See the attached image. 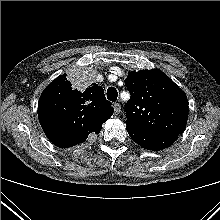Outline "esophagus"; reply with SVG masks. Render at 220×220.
<instances>
[{"instance_id": "34e87169", "label": "esophagus", "mask_w": 220, "mask_h": 220, "mask_svg": "<svg viewBox=\"0 0 220 220\" xmlns=\"http://www.w3.org/2000/svg\"><path fill=\"white\" fill-rule=\"evenodd\" d=\"M113 107L115 114H119L121 112V105L119 103H115Z\"/></svg>"}]
</instances>
